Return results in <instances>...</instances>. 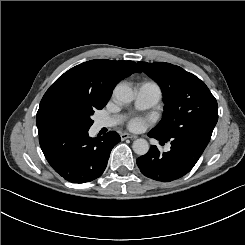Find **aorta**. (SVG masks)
<instances>
[{
    "label": "aorta",
    "mask_w": 245,
    "mask_h": 245,
    "mask_svg": "<svg viewBox=\"0 0 245 245\" xmlns=\"http://www.w3.org/2000/svg\"><path fill=\"white\" fill-rule=\"evenodd\" d=\"M113 94L115 99L121 103H130L134 99L132 88L124 83L118 84L115 87ZM132 148L137 155L141 156L147 154L149 151V144L145 139L139 138L133 142Z\"/></svg>",
    "instance_id": "aorta-1"
}]
</instances>
